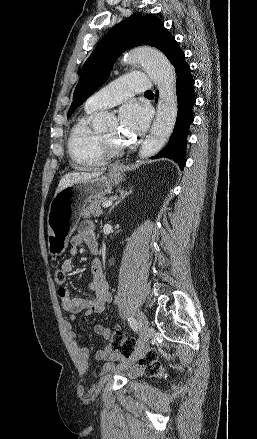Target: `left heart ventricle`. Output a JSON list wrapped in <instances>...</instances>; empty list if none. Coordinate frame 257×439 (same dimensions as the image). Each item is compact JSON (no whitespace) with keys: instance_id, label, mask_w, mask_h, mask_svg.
<instances>
[{"instance_id":"b2bd125f","label":"left heart ventricle","mask_w":257,"mask_h":439,"mask_svg":"<svg viewBox=\"0 0 257 439\" xmlns=\"http://www.w3.org/2000/svg\"><path fill=\"white\" fill-rule=\"evenodd\" d=\"M106 139L113 143H117V126H114L102 134Z\"/></svg>"}]
</instances>
